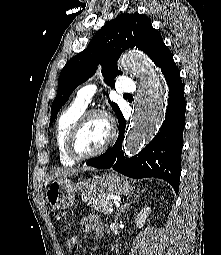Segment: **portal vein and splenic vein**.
Wrapping results in <instances>:
<instances>
[{"label":"portal vein and splenic vein","mask_w":221,"mask_h":255,"mask_svg":"<svg viewBox=\"0 0 221 255\" xmlns=\"http://www.w3.org/2000/svg\"><path fill=\"white\" fill-rule=\"evenodd\" d=\"M115 205H116L117 207H119V206H120V203H119V202H115ZM109 211H110V212H113V208L110 207V208H109Z\"/></svg>","instance_id":"portal-vein-and-splenic-vein-1"}]
</instances>
